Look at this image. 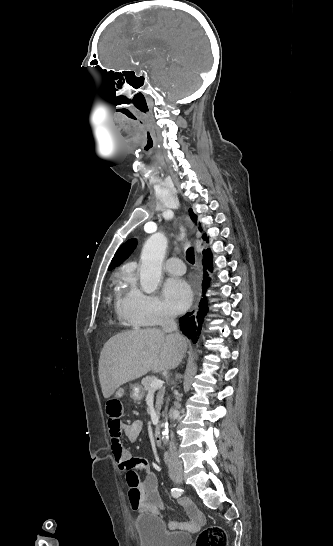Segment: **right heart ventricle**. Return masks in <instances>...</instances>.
<instances>
[{
	"label": "right heart ventricle",
	"instance_id": "e07e8e85",
	"mask_svg": "<svg viewBox=\"0 0 333 546\" xmlns=\"http://www.w3.org/2000/svg\"><path fill=\"white\" fill-rule=\"evenodd\" d=\"M124 287H122L116 294V297H115V308H116V311L120 317V319L122 321H124L125 323H127L128 325L130 326H134L136 325V323L132 322L125 314V309H124V305H125V301L127 299V296L131 290V284H130V281L128 279H125L124 282Z\"/></svg>",
	"mask_w": 333,
	"mask_h": 546
}]
</instances>
